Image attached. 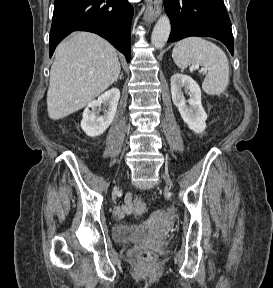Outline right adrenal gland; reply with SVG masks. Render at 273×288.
<instances>
[{"label":"right adrenal gland","instance_id":"2a0ac1e0","mask_svg":"<svg viewBox=\"0 0 273 288\" xmlns=\"http://www.w3.org/2000/svg\"><path fill=\"white\" fill-rule=\"evenodd\" d=\"M123 78V72L121 71V74H120V76H119V78L118 79H122Z\"/></svg>","mask_w":273,"mask_h":288}]
</instances>
